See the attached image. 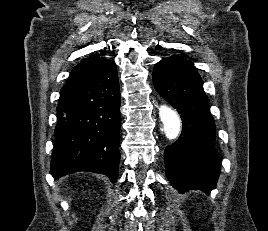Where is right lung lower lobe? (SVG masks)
<instances>
[{
    "label": "right lung lower lobe",
    "mask_w": 268,
    "mask_h": 231,
    "mask_svg": "<svg viewBox=\"0 0 268 231\" xmlns=\"http://www.w3.org/2000/svg\"><path fill=\"white\" fill-rule=\"evenodd\" d=\"M120 102L116 65L109 59L61 93L50 170L55 179L91 171L117 180Z\"/></svg>",
    "instance_id": "right-lung-lower-lobe-1"
}]
</instances>
